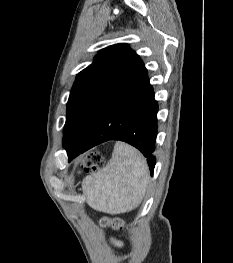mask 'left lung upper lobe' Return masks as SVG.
<instances>
[{
    "label": "left lung upper lobe",
    "instance_id": "obj_1",
    "mask_svg": "<svg viewBox=\"0 0 233 263\" xmlns=\"http://www.w3.org/2000/svg\"><path fill=\"white\" fill-rule=\"evenodd\" d=\"M141 62L127 44L100 50L76 77L67 103L63 145H83L94 125Z\"/></svg>",
    "mask_w": 233,
    "mask_h": 263
}]
</instances>
